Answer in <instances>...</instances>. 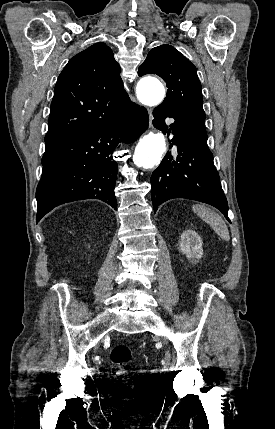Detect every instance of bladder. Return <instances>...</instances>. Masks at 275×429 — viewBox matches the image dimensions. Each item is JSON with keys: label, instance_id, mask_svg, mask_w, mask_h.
Wrapping results in <instances>:
<instances>
[{"label": "bladder", "instance_id": "1", "mask_svg": "<svg viewBox=\"0 0 275 429\" xmlns=\"http://www.w3.org/2000/svg\"><path fill=\"white\" fill-rule=\"evenodd\" d=\"M116 396L118 398H123L125 396V391L123 389H118L116 391ZM143 396V389H130L129 395L127 396V401L129 403H134L136 401V398H143Z\"/></svg>", "mask_w": 275, "mask_h": 429}]
</instances>
